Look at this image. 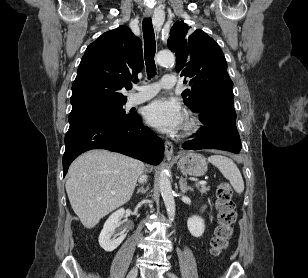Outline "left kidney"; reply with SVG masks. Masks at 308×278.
<instances>
[{
    "mask_svg": "<svg viewBox=\"0 0 308 278\" xmlns=\"http://www.w3.org/2000/svg\"><path fill=\"white\" fill-rule=\"evenodd\" d=\"M187 227L192 236L201 237L205 230L204 220L199 216L193 215L188 218Z\"/></svg>",
    "mask_w": 308,
    "mask_h": 278,
    "instance_id": "left-kidney-1",
    "label": "left kidney"
}]
</instances>
